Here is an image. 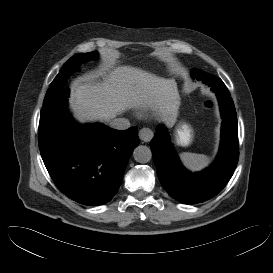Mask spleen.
<instances>
[{
  "label": "spleen",
  "instance_id": "obj_1",
  "mask_svg": "<svg viewBox=\"0 0 273 273\" xmlns=\"http://www.w3.org/2000/svg\"><path fill=\"white\" fill-rule=\"evenodd\" d=\"M181 159L184 165L192 171L201 170L205 168L210 162L209 156L195 153H182Z\"/></svg>",
  "mask_w": 273,
  "mask_h": 273
}]
</instances>
